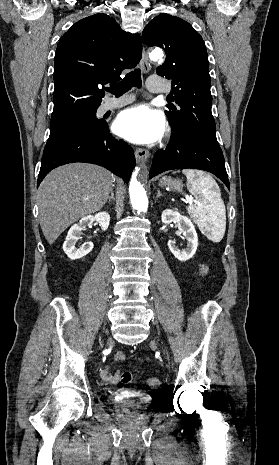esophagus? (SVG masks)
Instances as JSON below:
<instances>
[{
  "label": "esophagus",
  "mask_w": 279,
  "mask_h": 465,
  "mask_svg": "<svg viewBox=\"0 0 279 465\" xmlns=\"http://www.w3.org/2000/svg\"><path fill=\"white\" fill-rule=\"evenodd\" d=\"M140 66H141V69H142V71L144 73H148L150 71L151 66H150L149 59H148V56H147L144 48H143V51H142V58H141V61H140ZM149 156H150V152L147 149L137 148L135 150V157H136L137 163L146 162L148 160Z\"/></svg>",
  "instance_id": "obj_1"
}]
</instances>
